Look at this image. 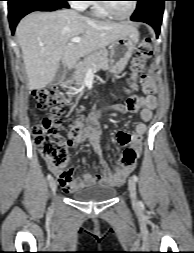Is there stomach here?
<instances>
[{
  "label": "stomach",
  "instance_id": "obj_1",
  "mask_svg": "<svg viewBox=\"0 0 194 253\" xmlns=\"http://www.w3.org/2000/svg\"><path fill=\"white\" fill-rule=\"evenodd\" d=\"M136 45V38L125 35L112 43L109 55V71L112 74H119L125 68L132 56Z\"/></svg>",
  "mask_w": 194,
  "mask_h": 253
}]
</instances>
